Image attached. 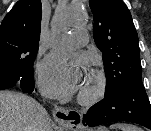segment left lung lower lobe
Listing matches in <instances>:
<instances>
[{"mask_svg": "<svg viewBox=\"0 0 151 131\" xmlns=\"http://www.w3.org/2000/svg\"><path fill=\"white\" fill-rule=\"evenodd\" d=\"M89 127L117 122H133L151 129V105L142 79H132L93 105L83 115Z\"/></svg>", "mask_w": 151, "mask_h": 131, "instance_id": "1", "label": "left lung lower lobe"}]
</instances>
